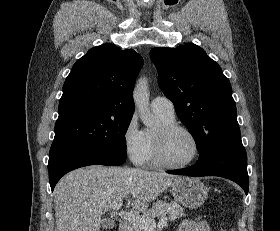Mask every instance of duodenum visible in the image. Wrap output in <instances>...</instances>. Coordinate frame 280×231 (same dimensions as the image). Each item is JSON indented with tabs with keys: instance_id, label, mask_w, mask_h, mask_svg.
I'll list each match as a JSON object with an SVG mask.
<instances>
[{
	"instance_id": "410a0bca",
	"label": "duodenum",
	"mask_w": 280,
	"mask_h": 231,
	"mask_svg": "<svg viewBox=\"0 0 280 231\" xmlns=\"http://www.w3.org/2000/svg\"><path fill=\"white\" fill-rule=\"evenodd\" d=\"M118 231H130L129 222L127 220H122L119 223Z\"/></svg>"
}]
</instances>
